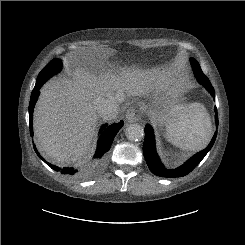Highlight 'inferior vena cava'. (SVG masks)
Returning <instances> with one entry per match:
<instances>
[{"label": "inferior vena cava", "mask_w": 245, "mask_h": 245, "mask_svg": "<svg viewBox=\"0 0 245 245\" xmlns=\"http://www.w3.org/2000/svg\"><path fill=\"white\" fill-rule=\"evenodd\" d=\"M95 108L105 120L116 118L119 112L118 102L114 98H100L95 103Z\"/></svg>", "instance_id": "obj_1"}]
</instances>
